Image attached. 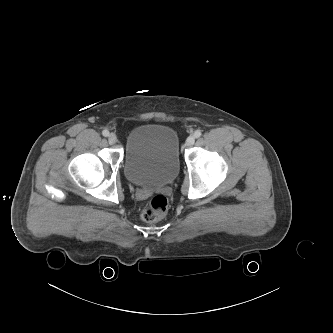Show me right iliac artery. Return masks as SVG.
Wrapping results in <instances>:
<instances>
[{
  "label": "right iliac artery",
  "instance_id": "82829eb1",
  "mask_svg": "<svg viewBox=\"0 0 333 333\" xmlns=\"http://www.w3.org/2000/svg\"><path fill=\"white\" fill-rule=\"evenodd\" d=\"M102 134H103V136L107 137V136H109V131L108 130H103Z\"/></svg>",
  "mask_w": 333,
  "mask_h": 333
}]
</instances>
